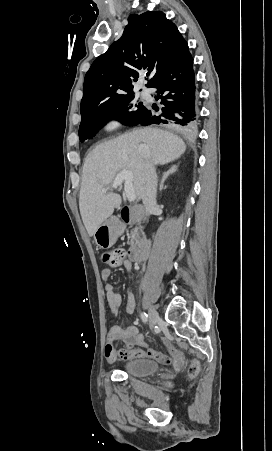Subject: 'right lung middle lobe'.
<instances>
[{
  "mask_svg": "<svg viewBox=\"0 0 272 451\" xmlns=\"http://www.w3.org/2000/svg\"><path fill=\"white\" fill-rule=\"evenodd\" d=\"M148 108L136 102L134 95L112 100L81 113L79 138L83 142L91 139L109 120L116 119L129 126L136 125Z\"/></svg>",
  "mask_w": 272,
  "mask_h": 451,
  "instance_id": "right-lung-middle-lobe-1",
  "label": "right lung middle lobe"
}]
</instances>
